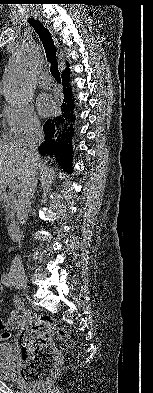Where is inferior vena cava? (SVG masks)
<instances>
[{
    "label": "inferior vena cava",
    "mask_w": 153,
    "mask_h": 393,
    "mask_svg": "<svg viewBox=\"0 0 153 393\" xmlns=\"http://www.w3.org/2000/svg\"><path fill=\"white\" fill-rule=\"evenodd\" d=\"M44 141V133L38 121H33L26 133L25 143L26 146L32 151L37 152L38 146ZM38 169L39 167L34 166V170L27 177V179L22 183L21 191L18 195L16 212L17 219L20 224L25 225L28 218L27 206L30 199L33 197L37 182H38ZM10 271L13 275H24V268L20 256H16L12 260V265Z\"/></svg>",
    "instance_id": "obj_1"
}]
</instances>
